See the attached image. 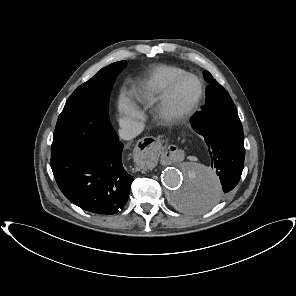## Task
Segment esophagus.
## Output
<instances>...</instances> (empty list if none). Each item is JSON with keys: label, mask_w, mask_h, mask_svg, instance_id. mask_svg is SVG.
<instances>
[{"label": "esophagus", "mask_w": 296, "mask_h": 296, "mask_svg": "<svg viewBox=\"0 0 296 296\" xmlns=\"http://www.w3.org/2000/svg\"><path fill=\"white\" fill-rule=\"evenodd\" d=\"M163 148V143L159 139L150 137L143 139L135 152L137 166L144 170L152 168L161 159Z\"/></svg>", "instance_id": "1"}]
</instances>
